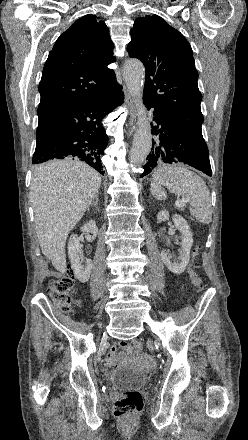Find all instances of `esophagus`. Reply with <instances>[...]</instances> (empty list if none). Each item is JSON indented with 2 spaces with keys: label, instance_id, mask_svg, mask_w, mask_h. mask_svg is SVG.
Here are the masks:
<instances>
[{
  "label": "esophagus",
  "instance_id": "1",
  "mask_svg": "<svg viewBox=\"0 0 248 440\" xmlns=\"http://www.w3.org/2000/svg\"><path fill=\"white\" fill-rule=\"evenodd\" d=\"M126 101H127V105H128V107L130 108V111H131V117H130V120H129V125H130V128H129V133H130V135L133 133V131L135 130V122H136V101H135V99H134V97L130 94V93H127V96H126Z\"/></svg>",
  "mask_w": 248,
  "mask_h": 440
}]
</instances>
